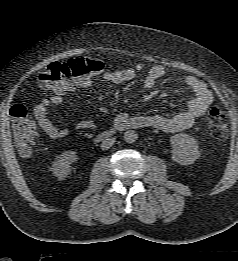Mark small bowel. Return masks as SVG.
<instances>
[{"label":"small bowel","mask_w":238,"mask_h":261,"mask_svg":"<svg viewBox=\"0 0 238 261\" xmlns=\"http://www.w3.org/2000/svg\"><path fill=\"white\" fill-rule=\"evenodd\" d=\"M146 65L142 62L136 63L126 68L114 70H102V77L108 83H121L134 78L138 73L144 72ZM166 73L162 65H154L147 70L143 80L145 88H152L157 80ZM183 82L189 88L194 96L188 102L187 109L174 116L165 117L161 115H139L133 116L128 113H120L115 117L114 126L120 130L129 128L151 127L166 133H175L190 128L195 121L204 115L213 101V94L207 85L195 76L188 75L184 77ZM90 77L74 81L71 87L66 91L75 88L87 89L91 86ZM66 92H55L49 98H45L34 108V115L38 125L49 137L57 139L63 138L69 134L66 127L56 126L48 117V109L53 105H59L63 102ZM77 130H92L95 128V122L92 119H84L74 126Z\"/></svg>","instance_id":"1"}]
</instances>
